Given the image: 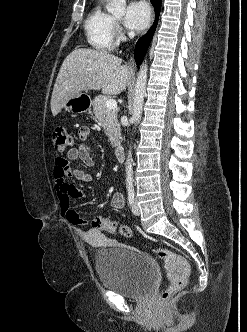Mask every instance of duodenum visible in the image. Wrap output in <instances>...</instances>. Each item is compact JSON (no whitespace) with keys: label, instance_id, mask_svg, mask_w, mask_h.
<instances>
[{"label":"duodenum","instance_id":"duodenum-1","mask_svg":"<svg viewBox=\"0 0 247 332\" xmlns=\"http://www.w3.org/2000/svg\"><path fill=\"white\" fill-rule=\"evenodd\" d=\"M115 156L119 161H123L124 160V149L122 146H117L115 148Z\"/></svg>","mask_w":247,"mask_h":332}]
</instances>
